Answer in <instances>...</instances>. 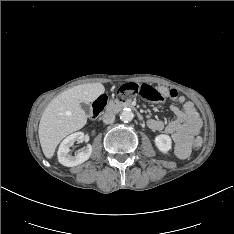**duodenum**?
<instances>
[{
    "label": "duodenum",
    "mask_w": 234,
    "mask_h": 234,
    "mask_svg": "<svg viewBox=\"0 0 234 234\" xmlns=\"http://www.w3.org/2000/svg\"><path fill=\"white\" fill-rule=\"evenodd\" d=\"M124 109L136 110L137 106L133 101H130V100H124V101L117 100V101L110 103L107 106L106 111L108 113H117V112L122 111ZM139 117L142 118L140 114H139Z\"/></svg>",
    "instance_id": "410a0bca"
}]
</instances>
